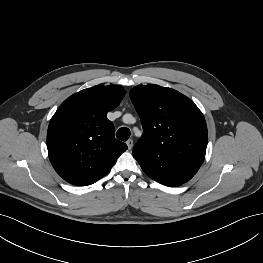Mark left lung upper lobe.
I'll return each mask as SVG.
<instances>
[{
  "label": "left lung upper lobe",
  "mask_w": 263,
  "mask_h": 263,
  "mask_svg": "<svg viewBox=\"0 0 263 263\" xmlns=\"http://www.w3.org/2000/svg\"><path fill=\"white\" fill-rule=\"evenodd\" d=\"M143 135L133 156L147 175L165 165L196 174L207 147V126L202 112L185 95L158 85H140L130 91Z\"/></svg>",
  "instance_id": "5c2ea615"
}]
</instances>
